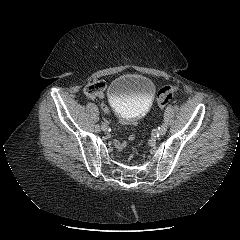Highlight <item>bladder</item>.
I'll use <instances>...</instances> for the list:
<instances>
[{
  "label": "bladder",
  "instance_id": "bladder-1",
  "mask_svg": "<svg viewBox=\"0 0 240 240\" xmlns=\"http://www.w3.org/2000/svg\"><path fill=\"white\" fill-rule=\"evenodd\" d=\"M155 84L140 74H123L108 88V98L114 111L125 121H134L150 108L155 95Z\"/></svg>",
  "mask_w": 240,
  "mask_h": 240
}]
</instances>
